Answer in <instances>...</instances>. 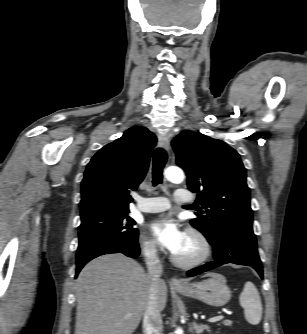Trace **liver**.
<instances>
[{
  "label": "liver",
  "mask_w": 307,
  "mask_h": 334,
  "mask_svg": "<svg viewBox=\"0 0 307 334\" xmlns=\"http://www.w3.org/2000/svg\"><path fill=\"white\" fill-rule=\"evenodd\" d=\"M150 287L144 268L121 253L93 259L76 281L75 334H132L144 316ZM156 301L162 311L167 302L163 280L158 283Z\"/></svg>",
  "instance_id": "liver-1"
}]
</instances>
